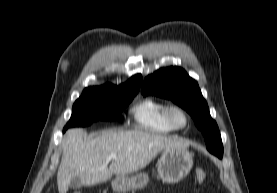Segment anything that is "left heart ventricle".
<instances>
[{"label":"left heart ventricle","mask_w":277,"mask_h":193,"mask_svg":"<svg viewBox=\"0 0 277 193\" xmlns=\"http://www.w3.org/2000/svg\"><path fill=\"white\" fill-rule=\"evenodd\" d=\"M174 117H175V121L178 124H183L184 123V117L180 113H175Z\"/></svg>","instance_id":"left-heart-ventricle-1"}]
</instances>
